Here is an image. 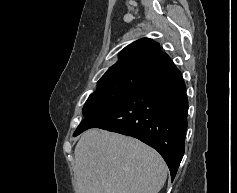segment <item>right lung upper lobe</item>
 <instances>
[{
    "instance_id": "1",
    "label": "right lung upper lobe",
    "mask_w": 237,
    "mask_h": 193,
    "mask_svg": "<svg viewBox=\"0 0 237 193\" xmlns=\"http://www.w3.org/2000/svg\"><path fill=\"white\" fill-rule=\"evenodd\" d=\"M162 54L164 53L161 52L157 42L149 38L139 39L126 46L119 53V61L110 67L101 79L130 71H146Z\"/></svg>"
}]
</instances>
